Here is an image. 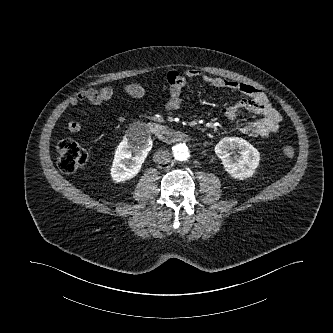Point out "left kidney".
<instances>
[{
  "instance_id": "5707ae66",
  "label": "left kidney",
  "mask_w": 333,
  "mask_h": 333,
  "mask_svg": "<svg viewBox=\"0 0 333 333\" xmlns=\"http://www.w3.org/2000/svg\"><path fill=\"white\" fill-rule=\"evenodd\" d=\"M238 148L240 156H234L232 150ZM216 155L222 160L225 170L234 178H249L259 165L260 153L249 142L238 137L223 138L215 146Z\"/></svg>"
}]
</instances>
